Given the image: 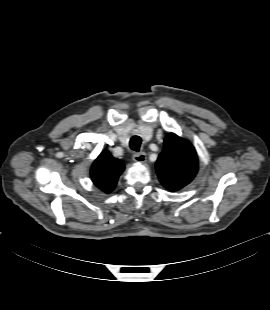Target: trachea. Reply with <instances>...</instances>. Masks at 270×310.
<instances>
[{"label":"trachea","mask_w":270,"mask_h":310,"mask_svg":"<svg viewBox=\"0 0 270 310\" xmlns=\"http://www.w3.org/2000/svg\"><path fill=\"white\" fill-rule=\"evenodd\" d=\"M141 138L139 136H133L130 139V148L136 152H139L141 146Z\"/></svg>","instance_id":"trachea-1"}]
</instances>
